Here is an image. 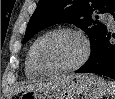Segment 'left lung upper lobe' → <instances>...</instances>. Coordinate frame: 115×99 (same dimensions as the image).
<instances>
[{
    "instance_id": "obj_1",
    "label": "left lung upper lobe",
    "mask_w": 115,
    "mask_h": 99,
    "mask_svg": "<svg viewBox=\"0 0 115 99\" xmlns=\"http://www.w3.org/2000/svg\"><path fill=\"white\" fill-rule=\"evenodd\" d=\"M105 12H115V0H39L28 23L23 43L48 26L73 23L89 36L92 53L107 31L104 24L94 21L92 17Z\"/></svg>"
}]
</instances>
